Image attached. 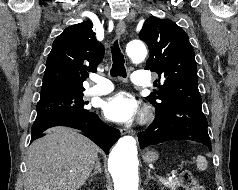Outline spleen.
Instances as JSON below:
<instances>
[{"label": "spleen", "mask_w": 238, "mask_h": 190, "mask_svg": "<svg viewBox=\"0 0 238 190\" xmlns=\"http://www.w3.org/2000/svg\"><path fill=\"white\" fill-rule=\"evenodd\" d=\"M197 162V168L200 171H204L207 168V160L205 159V157L199 155L196 159Z\"/></svg>", "instance_id": "obj_1"}]
</instances>
